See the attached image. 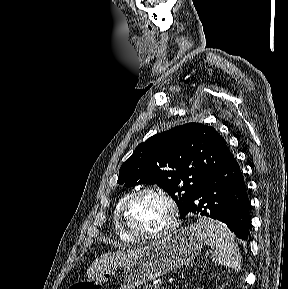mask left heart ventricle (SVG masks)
Wrapping results in <instances>:
<instances>
[{
	"instance_id": "b2bd125f",
	"label": "left heart ventricle",
	"mask_w": 288,
	"mask_h": 289,
	"mask_svg": "<svg viewBox=\"0 0 288 289\" xmlns=\"http://www.w3.org/2000/svg\"><path fill=\"white\" fill-rule=\"evenodd\" d=\"M126 222L135 231L155 232L169 221V209L159 197L145 194L137 198L126 212Z\"/></svg>"
}]
</instances>
